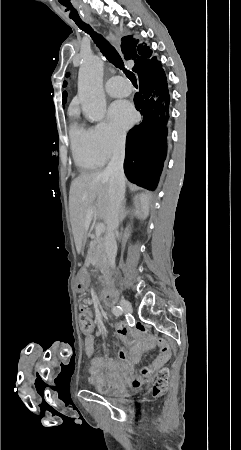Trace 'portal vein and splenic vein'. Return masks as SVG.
Returning a JSON list of instances; mask_svg holds the SVG:
<instances>
[{
    "label": "portal vein and splenic vein",
    "instance_id": "18ae733b",
    "mask_svg": "<svg viewBox=\"0 0 241 450\" xmlns=\"http://www.w3.org/2000/svg\"><path fill=\"white\" fill-rule=\"evenodd\" d=\"M104 230H105L104 224H97V226L95 228L97 238H99V236H101V234H102V232H104Z\"/></svg>",
    "mask_w": 241,
    "mask_h": 450
}]
</instances>
